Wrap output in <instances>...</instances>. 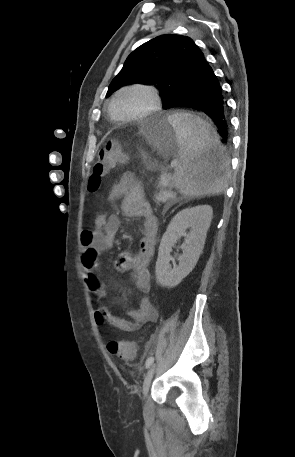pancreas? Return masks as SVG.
Segmentation results:
<instances>
[{
    "instance_id": "obj_1",
    "label": "pancreas",
    "mask_w": 295,
    "mask_h": 457,
    "mask_svg": "<svg viewBox=\"0 0 295 457\" xmlns=\"http://www.w3.org/2000/svg\"><path fill=\"white\" fill-rule=\"evenodd\" d=\"M160 191L155 195V200L157 202L173 201L175 194L171 191V182L168 181L166 185H162L159 182Z\"/></svg>"
}]
</instances>
